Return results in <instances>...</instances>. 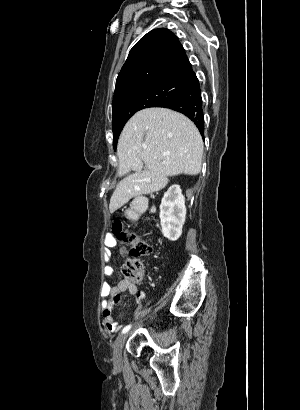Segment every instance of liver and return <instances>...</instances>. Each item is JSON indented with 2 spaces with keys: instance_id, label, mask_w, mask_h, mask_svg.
<instances>
[{
  "instance_id": "liver-1",
  "label": "liver",
  "mask_w": 300,
  "mask_h": 410,
  "mask_svg": "<svg viewBox=\"0 0 300 410\" xmlns=\"http://www.w3.org/2000/svg\"><path fill=\"white\" fill-rule=\"evenodd\" d=\"M202 137L194 123L167 108L137 112L119 137V174L134 170L122 179L110 199L111 213L131 198L158 192L169 176L197 175L201 171ZM143 163L146 169L142 171Z\"/></svg>"
}]
</instances>
